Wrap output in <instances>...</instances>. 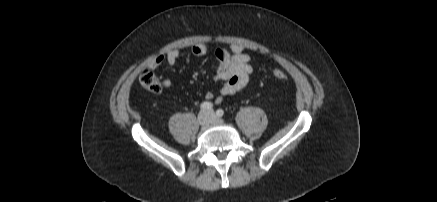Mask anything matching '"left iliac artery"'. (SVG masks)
<instances>
[{"instance_id": "obj_1", "label": "left iliac artery", "mask_w": 437, "mask_h": 202, "mask_svg": "<svg viewBox=\"0 0 437 202\" xmlns=\"http://www.w3.org/2000/svg\"><path fill=\"white\" fill-rule=\"evenodd\" d=\"M217 116L222 117L224 115V111L222 109H218L216 111Z\"/></svg>"}]
</instances>
